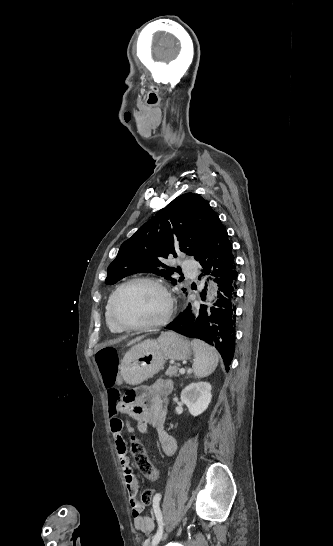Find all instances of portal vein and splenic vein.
Listing matches in <instances>:
<instances>
[{
    "label": "portal vein and splenic vein",
    "mask_w": 333,
    "mask_h": 546,
    "mask_svg": "<svg viewBox=\"0 0 333 546\" xmlns=\"http://www.w3.org/2000/svg\"><path fill=\"white\" fill-rule=\"evenodd\" d=\"M179 373H180V374H184V373H185V369L181 368V369L179 370Z\"/></svg>",
    "instance_id": "18ae733b"
}]
</instances>
